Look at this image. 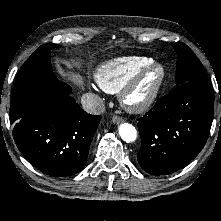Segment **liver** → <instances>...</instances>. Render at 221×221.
<instances>
[{"instance_id":"6515ba94","label":"liver","mask_w":221,"mask_h":221,"mask_svg":"<svg viewBox=\"0 0 221 221\" xmlns=\"http://www.w3.org/2000/svg\"><path fill=\"white\" fill-rule=\"evenodd\" d=\"M66 75L70 77V79L76 84V85H83V79L79 74H75L73 72L66 71Z\"/></svg>"}]
</instances>
